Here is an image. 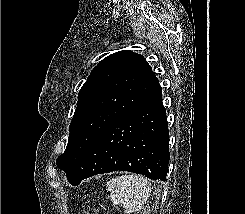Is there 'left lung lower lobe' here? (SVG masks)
I'll list each match as a JSON object with an SVG mask.
<instances>
[{
  "mask_svg": "<svg viewBox=\"0 0 245 214\" xmlns=\"http://www.w3.org/2000/svg\"><path fill=\"white\" fill-rule=\"evenodd\" d=\"M169 159V132L159 87L108 126L67 179L75 186L96 174L129 171L166 181Z\"/></svg>",
  "mask_w": 245,
  "mask_h": 214,
  "instance_id": "1",
  "label": "left lung lower lobe"
}]
</instances>
